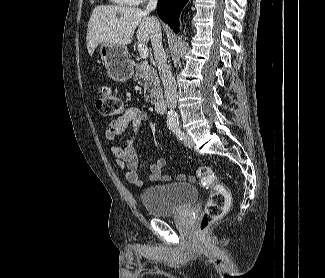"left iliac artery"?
<instances>
[{
	"mask_svg": "<svg viewBox=\"0 0 325 278\" xmlns=\"http://www.w3.org/2000/svg\"><path fill=\"white\" fill-rule=\"evenodd\" d=\"M171 130L177 136V138H179L180 140H183L186 138L185 134L182 132V130L178 124L171 126Z\"/></svg>",
	"mask_w": 325,
	"mask_h": 278,
	"instance_id": "44dca946",
	"label": "left iliac artery"
}]
</instances>
